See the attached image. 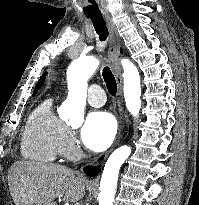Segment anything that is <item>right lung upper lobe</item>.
<instances>
[{"label":"right lung upper lobe","mask_w":199,"mask_h":205,"mask_svg":"<svg viewBox=\"0 0 199 205\" xmlns=\"http://www.w3.org/2000/svg\"><path fill=\"white\" fill-rule=\"evenodd\" d=\"M120 52L122 53V49H120ZM46 74H47V72H45V73L42 75V77L40 78V80L38 81V83H37V85H36V88H35V90H34L33 95H35V94L37 93L38 89L41 88V86L43 85L44 80H45V78H46Z\"/></svg>","instance_id":"right-lung-upper-lobe-1"}]
</instances>
